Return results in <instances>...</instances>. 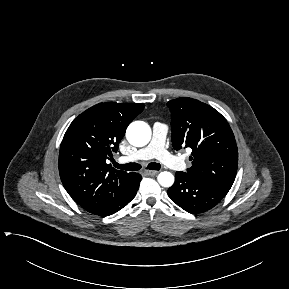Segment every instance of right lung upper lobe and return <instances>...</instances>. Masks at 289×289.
<instances>
[{"label":"right lung upper lobe","instance_id":"1","mask_svg":"<svg viewBox=\"0 0 289 289\" xmlns=\"http://www.w3.org/2000/svg\"><path fill=\"white\" fill-rule=\"evenodd\" d=\"M144 109L136 103H99L67 129L59 152V174L72 199L97 214L129 186L132 173L115 170L106 160L117 152L127 126Z\"/></svg>","mask_w":289,"mask_h":289}]
</instances>
